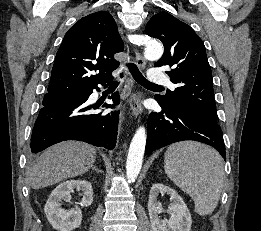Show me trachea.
I'll return each instance as SVG.
<instances>
[{
    "label": "trachea",
    "instance_id": "1",
    "mask_svg": "<svg viewBox=\"0 0 261 231\" xmlns=\"http://www.w3.org/2000/svg\"><path fill=\"white\" fill-rule=\"evenodd\" d=\"M130 73L132 74L133 78L141 85L146 86H153V87H162L157 84L149 82L139 71L138 67L134 63L127 64Z\"/></svg>",
    "mask_w": 261,
    "mask_h": 231
}]
</instances>
